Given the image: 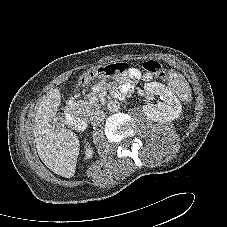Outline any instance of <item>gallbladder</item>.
Segmentation results:
<instances>
[{
    "instance_id": "bac80fb5",
    "label": "gallbladder",
    "mask_w": 227,
    "mask_h": 227,
    "mask_svg": "<svg viewBox=\"0 0 227 227\" xmlns=\"http://www.w3.org/2000/svg\"><path fill=\"white\" fill-rule=\"evenodd\" d=\"M53 125L56 127H62L64 126V120L61 117H56V120L53 121Z\"/></svg>"
}]
</instances>
